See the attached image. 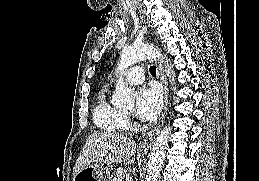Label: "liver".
<instances>
[{
    "mask_svg": "<svg viewBox=\"0 0 259 181\" xmlns=\"http://www.w3.org/2000/svg\"><path fill=\"white\" fill-rule=\"evenodd\" d=\"M135 142L117 132L101 131L88 136L85 145L76 160L73 168V177L92 163L112 164L124 163L133 164L135 158Z\"/></svg>",
    "mask_w": 259,
    "mask_h": 181,
    "instance_id": "liver-1",
    "label": "liver"
}]
</instances>
